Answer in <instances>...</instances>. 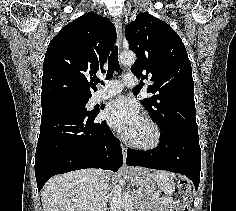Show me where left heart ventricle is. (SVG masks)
<instances>
[{
  "label": "left heart ventricle",
  "instance_id": "obj_1",
  "mask_svg": "<svg viewBox=\"0 0 236 211\" xmlns=\"http://www.w3.org/2000/svg\"><path fill=\"white\" fill-rule=\"evenodd\" d=\"M130 136L139 141H147L150 138V132L145 122L142 121Z\"/></svg>",
  "mask_w": 236,
  "mask_h": 211
}]
</instances>
